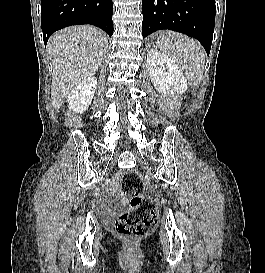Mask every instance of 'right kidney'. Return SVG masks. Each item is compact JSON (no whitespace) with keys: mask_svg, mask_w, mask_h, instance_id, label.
I'll return each instance as SVG.
<instances>
[{"mask_svg":"<svg viewBox=\"0 0 265 273\" xmlns=\"http://www.w3.org/2000/svg\"><path fill=\"white\" fill-rule=\"evenodd\" d=\"M97 86V79L89 77L76 85L67 97L69 110L83 113L90 106Z\"/></svg>","mask_w":265,"mask_h":273,"instance_id":"1","label":"right kidney"}]
</instances>
